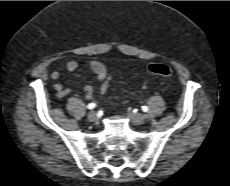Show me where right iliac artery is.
I'll return each instance as SVG.
<instances>
[{
	"instance_id": "1",
	"label": "right iliac artery",
	"mask_w": 230,
	"mask_h": 186,
	"mask_svg": "<svg viewBox=\"0 0 230 186\" xmlns=\"http://www.w3.org/2000/svg\"><path fill=\"white\" fill-rule=\"evenodd\" d=\"M95 107H96V103H90V104H88V106H87L88 109H93V108H95Z\"/></svg>"
}]
</instances>
